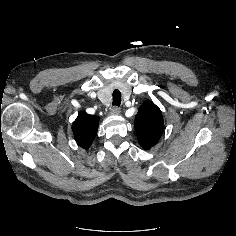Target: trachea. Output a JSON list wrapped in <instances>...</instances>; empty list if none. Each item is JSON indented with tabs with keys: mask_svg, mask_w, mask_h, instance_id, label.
<instances>
[{
	"mask_svg": "<svg viewBox=\"0 0 236 236\" xmlns=\"http://www.w3.org/2000/svg\"><path fill=\"white\" fill-rule=\"evenodd\" d=\"M112 96H113V103L112 104L114 106H120V104H121V92L116 89V90L113 91Z\"/></svg>",
	"mask_w": 236,
	"mask_h": 236,
	"instance_id": "1",
	"label": "trachea"
}]
</instances>
